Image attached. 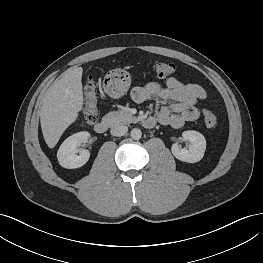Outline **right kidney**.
I'll return each instance as SVG.
<instances>
[{"instance_id":"1","label":"right kidney","mask_w":263,"mask_h":263,"mask_svg":"<svg viewBox=\"0 0 263 263\" xmlns=\"http://www.w3.org/2000/svg\"><path fill=\"white\" fill-rule=\"evenodd\" d=\"M89 137L88 132H78L68 137L57 152L59 164L67 169L79 168L86 164L90 158V152L78 147L82 142H86Z\"/></svg>"}]
</instances>
